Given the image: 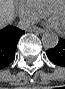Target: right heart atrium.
<instances>
[{"label": "right heart atrium", "mask_w": 65, "mask_h": 89, "mask_svg": "<svg viewBox=\"0 0 65 89\" xmlns=\"http://www.w3.org/2000/svg\"><path fill=\"white\" fill-rule=\"evenodd\" d=\"M15 10L25 24L35 23L46 12V9L38 5L34 0L15 1Z\"/></svg>", "instance_id": "1"}]
</instances>
